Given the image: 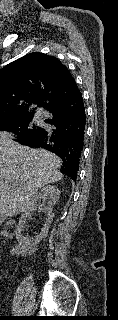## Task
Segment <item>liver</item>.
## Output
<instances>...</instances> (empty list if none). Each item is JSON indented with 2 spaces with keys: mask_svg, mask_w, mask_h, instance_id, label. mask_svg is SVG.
<instances>
[{
  "mask_svg": "<svg viewBox=\"0 0 118 320\" xmlns=\"http://www.w3.org/2000/svg\"><path fill=\"white\" fill-rule=\"evenodd\" d=\"M61 159L45 149H32L0 132V216L23 212L46 184L62 179Z\"/></svg>",
  "mask_w": 118,
  "mask_h": 320,
  "instance_id": "6515ba94",
  "label": "liver"
}]
</instances>
